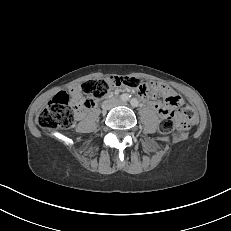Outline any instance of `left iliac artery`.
<instances>
[{
  "label": "left iliac artery",
  "instance_id": "left-iliac-artery-1",
  "mask_svg": "<svg viewBox=\"0 0 231 231\" xmlns=\"http://www.w3.org/2000/svg\"><path fill=\"white\" fill-rule=\"evenodd\" d=\"M130 104L133 106V107H137L139 105L138 103V100L136 98H132L130 100Z\"/></svg>",
  "mask_w": 231,
  "mask_h": 231
}]
</instances>
